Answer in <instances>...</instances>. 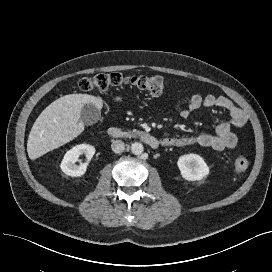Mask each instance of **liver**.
Instances as JSON below:
<instances>
[{
  "label": "liver",
  "instance_id": "1",
  "mask_svg": "<svg viewBox=\"0 0 272 272\" xmlns=\"http://www.w3.org/2000/svg\"><path fill=\"white\" fill-rule=\"evenodd\" d=\"M115 101H121L120 97ZM92 103L99 110L103 102L89 94H68L52 102L36 119L30 131L27 152L30 159H37L72 141L84 131L81 110Z\"/></svg>",
  "mask_w": 272,
  "mask_h": 272
}]
</instances>
